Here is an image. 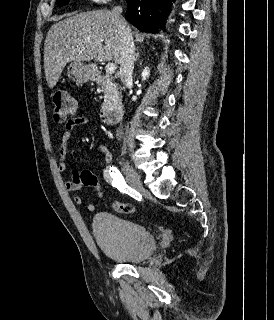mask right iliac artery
Instances as JSON below:
<instances>
[{
  "label": "right iliac artery",
  "mask_w": 274,
  "mask_h": 320,
  "mask_svg": "<svg viewBox=\"0 0 274 320\" xmlns=\"http://www.w3.org/2000/svg\"><path fill=\"white\" fill-rule=\"evenodd\" d=\"M109 172L112 180V185L114 187L118 188V190H120L123 193H127L128 195L137 200L141 199V195L136 190L132 189L127 185L124 177L122 176L119 170H117L115 167H111Z\"/></svg>",
  "instance_id": "obj_1"
}]
</instances>
